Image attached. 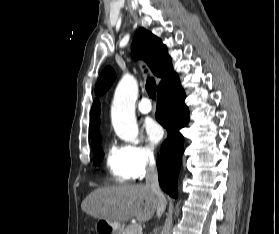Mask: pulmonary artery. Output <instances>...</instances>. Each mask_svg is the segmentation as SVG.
<instances>
[{
	"label": "pulmonary artery",
	"mask_w": 279,
	"mask_h": 234,
	"mask_svg": "<svg viewBox=\"0 0 279 234\" xmlns=\"http://www.w3.org/2000/svg\"><path fill=\"white\" fill-rule=\"evenodd\" d=\"M137 109L138 111L141 113V114H148L151 112L152 110V104L151 102L149 101V99L147 98H143L138 106H137Z\"/></svg>",
	"instance_id": "e3ab8cb5"
}]
</instances>
